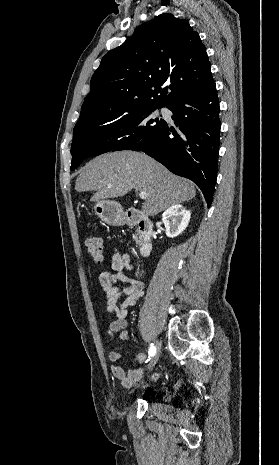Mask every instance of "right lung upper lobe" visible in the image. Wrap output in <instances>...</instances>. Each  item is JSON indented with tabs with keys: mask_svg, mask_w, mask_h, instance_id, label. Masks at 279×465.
<instances>
[{
	"mask_svg": "<svg viewBox=\"0 0 279 465\" xmlns=\"http://www.w3.org/2000/svg\"><path fill=\"white\" fill-rule=\"evenodd\" d=\"M210 70L205 47L188 21L161 14L102 58L76 126L167 106L207 82Z\"/></svg>",
	"mask_w": 279,
	"mask_h": 465,
	"instance_id": "obj_1",
	"label": "right lung upper lobe"
}]
</instances>
